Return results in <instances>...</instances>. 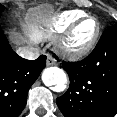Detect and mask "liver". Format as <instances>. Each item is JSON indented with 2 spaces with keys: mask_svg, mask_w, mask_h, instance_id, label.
<instances>
[{
  "mask_svg": "<svg viewBox=\"0 0 117 117\" xmlns=\"http://www.w3.org/2000/svg\"><path fill=\"white\" fill-rule=\"evenodd\" d=\"M35 14H39L41 15L42 14V10L41 9H36L35 10ZM13 39L16 43H19V40H20V37L17 36L16 34L13 35Z\"/></svg>",
  "mask_w": 117,
  "mask_h": 117,
  "instance_id": "obj_1",
  "label": "liver"
}]
</instances>
